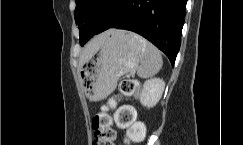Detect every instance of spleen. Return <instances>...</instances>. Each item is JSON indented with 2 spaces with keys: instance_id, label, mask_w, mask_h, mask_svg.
I'll return each instance as SVG.
<instances>
[{
  "instance_id": "1",
  "label": "spleen",
  "mask_w": 243,
  "mask_h": 145,
  "mask_svg": "<svg viewBox=\"0 0 243 145\" xmlns=\"http://www.w3.org/2000/svg\"><path fill=\"white\" fill-rule=\"evenodd\" d=\"M140 41L145 46V57L138 66L137 75L140 78H149L157 74L162 67V56L160 51L151 43L141 38Z\"/></svg>"
}]
</instances>
